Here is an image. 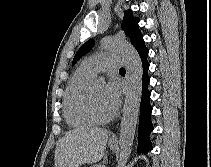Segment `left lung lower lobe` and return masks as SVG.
Masks as SVG:
<instances>
[{"label":"left lung lower lobe","mask_w":211,"mask_h":167,"mask_svg":"<svg viewBox=\"0 0 211 167\" xmlns=\"http://www.w3.org/2000/svg\"><path fill=\"white\" fill-rule=\"evenodd\" d=\"M142 62V98L140 106L139 130H138V147L137 151L147 153L152 150L149 135L153 130L151 122L152 108L150 105V91L148 85L150 78L148 76L149 63L147 61L148 52L139 53Z\"/></svg>","instance_id":"0a47b994"}]
</instances>
